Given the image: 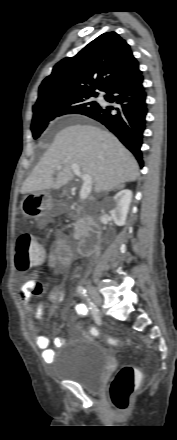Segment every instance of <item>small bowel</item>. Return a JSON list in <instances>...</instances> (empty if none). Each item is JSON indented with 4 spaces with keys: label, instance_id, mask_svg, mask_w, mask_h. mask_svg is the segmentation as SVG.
<instances>
[{
    "label": "small bowel",
    "instance_id": "1",
    "mask_svg": "<svg viewBox=\"0 0 177 440\" xmlns=\"http://www.w3.org/2000/svg\"><path fill=\"white\" fill-rule=\"evenodd\" d=\"M73 260V252L67 243V240L60 237L56 245L50 250L48 254L49 266L54 275H58L60 269L68 267ZM37 281L35 279L26 280L21 287L17 290V297L20 302L24 305L26 311H29L28 301L31 297L32 291L36 288ZM63 296L62 291L59 288H54L49 293V301L51 303H57L61 300ZM75 312L78 318H82L88 314V308L84 303L75 304ZM44 315V306L39 303L34 309L33 314L29 318V327L33 330H37V321L40 320ZM54 345L61 347L65 344V340L62 337L54 338ZM36 346L42 350L43 358L46 362H53L55 357V352L50 348V340L46 335H38L36 337Z\"/></svg>",
    "mask_w": 177,
    "mask_h": 440
}]
</instances>
